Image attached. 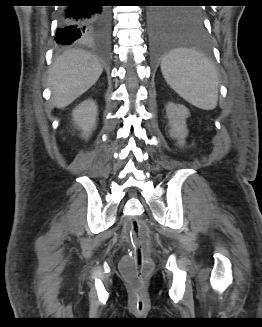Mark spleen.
I'll return each instance as SVG.
<instances>
[{
  "label": "spleen",
  "instance_id": "3e777b00",
  "mask_svg": "<svg viewBox=\"0 0 262 327\" xmlns=\"http://www.w3.org/2000/svg\"><path fill=\"white\" fill-rule=\"evenodd\" d=\"M162 74L170 87L192 105L211 110L218 100V75L212 62L200 53L176 49L161 63Z\"/></svg>",
  "mask_w": 262,
  "mask_h": 327
}]
</instances>
